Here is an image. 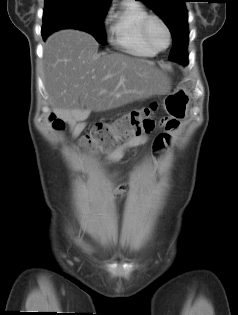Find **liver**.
Wrapping results in <instances>:
<instances>
[{
    "mask_svg": "<svg viewBox=\"0 0 238 315\" xmlns=\"http://www.w3.org/2000/svg\"><path fill=\"white\" fill-rule=\"evenodd\" d=\"M43 61L49 104L66 121L121 107L168 85L151 62L121 53H98L96 40L78 30L48 37Z\"/></svg>",
    "mask_w": 238,
    "mask_h": 315,
    "instance_id": "1",
    "label": "liver"
}]
</instances>
